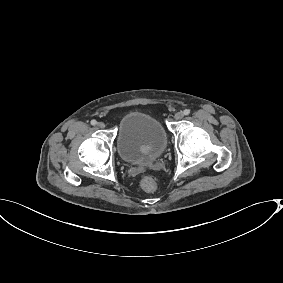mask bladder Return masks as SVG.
<instances>
[{
    "label": "bladder",
    "instance_id": "1",
    "mask_svg": "<svg viewBox=\"0 0 283 283\" xmlns=\"http://www.w3.org/2000/svg\"><path fill=\"white\" fill-rule=\"evenodd\" d=\"M167 143L165 128L149 113L134 111L118 120L116 151L126 162L147 164L160 156Z\"/></svg>",
    "mask_w": 283,
    "mask_h": 283
}]
</instances>
